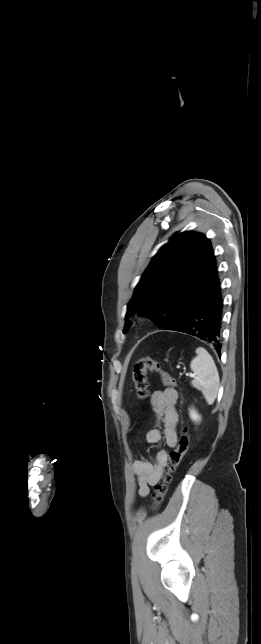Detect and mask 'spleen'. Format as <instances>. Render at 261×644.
I'll return each mask as SVG.
<instances>
[{
  "mask_svg": "<svg viewBox=\"0 0 261 644\" xmlns=\"http://www.w3.org/2000/svg\"><path fill=\"white\" fill-rule=\"evenodd\" d=\"M197 356L192 359L190 368L196 375L191 384L200 390L211 405L214 403L220 384L219 374L211 355L202 347L196 349Z\"/></svg>",
  "mask_w": 261,
  "mask_h": 644,
  "instance_id": "3e777b00",
  "label": "spleen"
}]
</instances>
